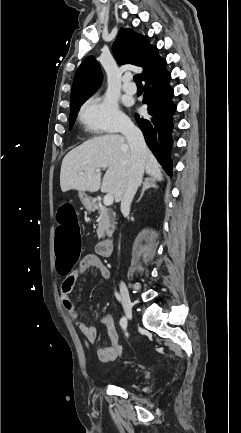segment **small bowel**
Here are the masks:
<instances>
[{
  "instance_id": "small-bowel-1",
  "label": "small bowel",
  "mask_w": 241,
  "mask_h": 433,
  "mask_svg": "<svg viewBox=\"0 0 241 433\" xmlns=\"http://www.w3.org/2000/svg\"><path fill=\"white\" fill-rule=\"evenodd\" d=\"M90 268H94L103 279H108L110 277V271L100 256L97 254H88L84 256L78 267L72 272H68L66 274L61 285V302L65 311L69 317L74 320L85 339L89 343L94 344L97 337L96 328L86 324L81 320L80 315L71 299V294L77 281L86 272V270ZM100 323L105 327L111 344L109 346L99 348L97 350V355L99 360L102 362H112L118 356L116 347L119 345V335L116 329L114 318L110 314L103 315L100 318Z\"/></svg>"
}]
</instances>
